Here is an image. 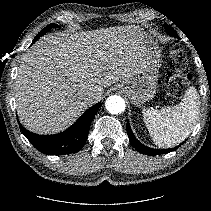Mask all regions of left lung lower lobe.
<instances>
[{"label":"left lung lower lobe","mask_w":211,"mask_h":211,"mask_svg":"<svg viewBox=\"0 0 211 211\" xmlns=\"http://www.w3.org/2000/svg\"><path fill=\"white\" fill-rule=\"evenodd\" d=\"M126 129H127V133H128V136H129V140L132 144V146L140 153L142 154H145V155H150V156H154V155H160V154H167L173 150H176L180 145L174 147V148H171V149H153V148H149L143 144H141L136 138L135 136L133 135L132 133V130L130 128V124L129 122L127 121V126H126Z\"/></svg>","instance_id":"left-lung-lower-lobe-1"}]
</instances>
